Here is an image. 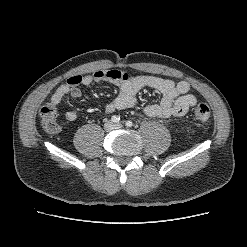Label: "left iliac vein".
<instances>
[{"mask_svg":"<svg viewBox=\"0 0 247 247\" xmlns=\"http://www.w3.org/2000/svg\"><path fill=\"white\" fill-rule=\"evenodd\" d=\"M114 127L116 129H120V128H122V124L121 123H117V124L114 125Z\"/></svg>","mask_w":247,"mask_h":247,"instance_id":"obj_1","label":"left iliac vein"}]
</instances>
